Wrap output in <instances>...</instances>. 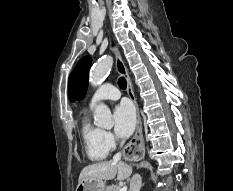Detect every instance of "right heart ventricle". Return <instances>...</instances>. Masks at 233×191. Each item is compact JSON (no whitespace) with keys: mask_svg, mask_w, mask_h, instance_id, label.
<instances>
[{"mask_svg":"<svg viewBox=\"0 0 233 191\" xmlns=\"http://www.w3.org/2000/svg\"><path fill=\"white\" fill-rule=\"evenodd\" d=\"M103 130L93 125L88 116L84 117L81 124V136L85 145L88 158L91 161H103L108 155V150L102 140Z\"/></svg>","mask_w":233,"mask_h":191,"instance_id":"1","label":"right heart ventricle"}]
</instances>
